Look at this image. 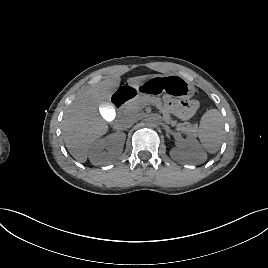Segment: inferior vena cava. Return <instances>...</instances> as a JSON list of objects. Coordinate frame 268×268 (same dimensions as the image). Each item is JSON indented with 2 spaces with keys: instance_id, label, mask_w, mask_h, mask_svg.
<instances>
[{
  "instance_id": "1",
  "label": "inferior vena cava",
  "mask_w": 268,
  "mask_h": 268,
  "mask_svg": "<svg viewBox=\"0 0 268 268\" xmlns=\"http://www.w3.org/2000/svg\"><path fill=\"white\" fill-rule=\"evenodd\" d=\"M136 122V117L133 114L125 115L123 118L119 120V128L120 129H128Z\"/></svg>"
}]
</instances>
